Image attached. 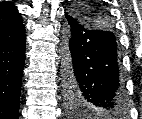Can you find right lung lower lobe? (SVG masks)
<instances>
[{
	"label": "right lung lower lobe",
	"instance_id": "obj_1",
	"mask_svg": "<svg viewBox=\"0 0 142 119\" xmlns=\"http://www.w3.org/2000/svg\"><path fill=\"white\" fill-rule=\"evenodd\" d=\"M25 45V29L0 41V119L19 118Z\"/></svg>",
	"mask_w": 142,
	"mask_h": 119
}]
</instances>
